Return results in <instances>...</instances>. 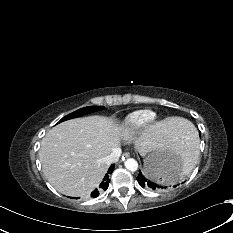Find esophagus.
<instances>
[{
  "label": "esophagus",
  "mask_w": 233,
  "mask_h": 233,
  "mask_svg": "<svg viewBox=\"0 0 233 233\" xmlns=\"http://www.w3.org/2000/svg\"><path fill=\"white\" fill-rule=\"evenodd\" d=\"M130 156V154L128 153V152H125L124 154H123V157L124 158H128Z\"/></svg>",
  "instance_id": "34e87169"
}]
</instances>
